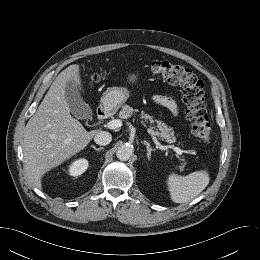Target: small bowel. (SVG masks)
<instances>
[{
	"label": "small bowel",
	"mask_w": 260,
	"mask_h": 260,
	"mask_svg": "<svg viewBox=\"0 0 260 260\" xmlns=\"http://www.w3.org/2000/svg\"><path fill=\"white\" fill-rule=\"evenodd\" d=\"M153 101L156 104L167 108L174 115L178 114V107H177L176 101L173 96L167 95V94H159V95L154 96Z\"/></svg>",
	"instance_id": "c3829d8e"
}]
</instances>
